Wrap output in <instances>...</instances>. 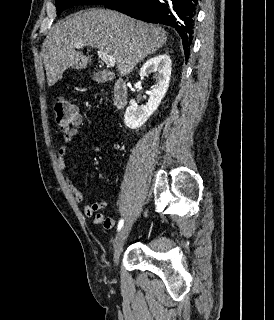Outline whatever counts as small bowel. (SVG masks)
<instances>
[{
	"label": "small bowel",
	"instance_id": "1",
	"mask_svg": "<svg viewBox=\"0 0 274 320\" xmlns=\"http://www.w3.org/2000/svg\"><path fill=\"white\" fill-rule=\"evenodd\" d=\"M74 126L63 132L62 144L57 152V164L60 172L64 175L68 188L74 198V200L82 204V212L86 217H92L95 224H102L104 228L109 229L114 225V219L112 217H107L100 211L104 210L107 206L105 200H98L92 204L85 203V197L83 192L72 182L68 175V168L66 163V156L68 152V146L71 141L80 133V130L84 124L83 119H74ZM95 152H101L99 146H93ZM104 178V173H98L96 175V180H101Z\"/></svg>",
	"mask_w": 274,
	"mask_h": 320
}]
</instances>
